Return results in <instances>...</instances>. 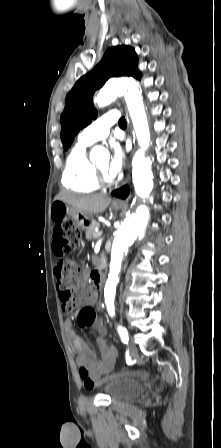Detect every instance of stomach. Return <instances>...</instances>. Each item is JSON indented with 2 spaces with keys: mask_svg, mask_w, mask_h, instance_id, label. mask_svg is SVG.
I'll return each instance as SVG.
<instances>
[{
  "mask_svg": "<svg viewBox=\"0 0 221 448\" xmlns=\"http://www.w3.org/2000/svg\"><path fill=\"white\" fill-rule=\"evenodd\" d=\"M53 207L64 208L66 213L74 220L76 225L83 230L88 229L92 225L93 219L88 214L76 210L72 207H68L65 203L61 201L54 202ZM111 208L115 211H118L122 208V206L112 204Z\"/></svg>",
  "mask_w": 221,
  "mask_h": 448,
  "instance_id": "1",
  "label": "stomach"
}]
</instances>
